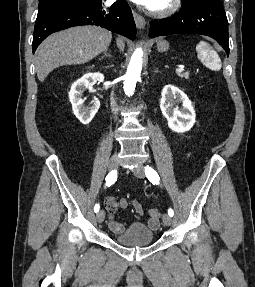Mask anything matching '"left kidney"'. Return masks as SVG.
Returning a JSON list of instances; mask_svg holds the SVG:
<instances>
[{"label": "left kidney", "instance_id": "left-kidney-1", "mask_svg": "<svg viewBox=\"0 0 255 287\" xmlns=\"http://www.w3.org/2000/svg\"><path fill=\"white\" fill-rule=\"evenodd\" d=\"M160 108L163 116H165L169 128L173 132H188L192 126H194L196 120V114L190 102L184 92H181L176 86L168 84L164 86L161 92ZM177 102L182 104V108L175 106Z\"/></svg>", "mask_w": 255, "mask_h": 287}]
</instances>
